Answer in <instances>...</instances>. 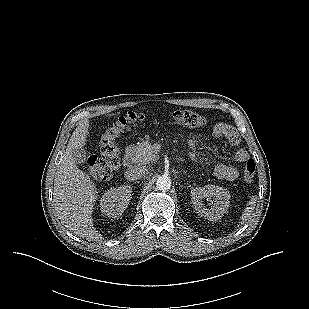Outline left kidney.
Instances as JSON below:
<instances>
[{
  "label": "left kidney",
  "instance_id": "left-kidney-1",
  "mask_svg": "<svg viewBox=\"0 0 309 309\" xmlns=\"http://www.w3.org/2000/svg\"><path fill=\"white\" fill-rule=\"evenodd\" d=\"M204 198H213L214 204L211 209L204 206L202 201ZM191 200L199 216L216 221L226 213L230 203V193L222 187L206 185L192 189Z\"/></svg>",
  "mask_w": 309,
  "mask_h": 309
}]
</instances>
